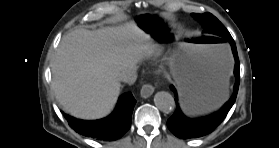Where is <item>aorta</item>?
<instances>
[{"label": "aorta", "mask_w": 279, "mask_h": 148, "mask_svg": "<svg viewBox=\"0 0 279 148\" xmlns=\"http://www.w3.org/2000/svg\"><path fill=\"white\" fill-rule=\"evenodd\" d=\"M154 103L156 107L164 113H168L175 107L173 96L166 91H160L155 94Z\"/></svg>", "instance_id": "1"}]
</instances>
